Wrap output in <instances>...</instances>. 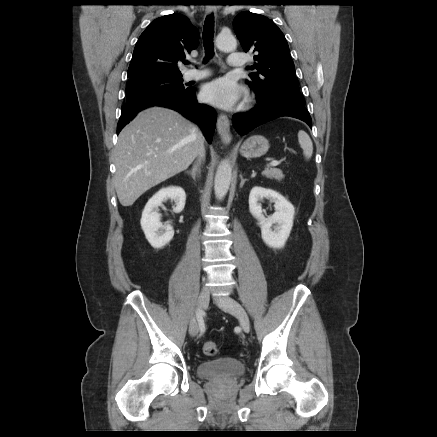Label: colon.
Masks as SVG:
<instances>
[{
	"label": "colon",
	"instance_id": "1",
	"mask_svg": "<svg viewBox=\"0 0 437 437\" xmlns=\"http://www.w3.org/2000/svg\"><path fill=\"white\" fill-rule=\"evenodd\" d=\"M203 352L207 356H215L218 353V346L213 341H206L203 344Z\"/></svg>",
	"mask_w": 437,
	"mask_h": 437
}]
</instances>
